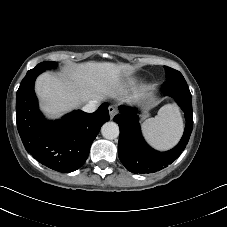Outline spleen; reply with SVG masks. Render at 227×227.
<instances>
[{
    "mask_svg": "<svg viewBox=\"0 0 227 227\" xmlns=\"http://www.w3.org/2000/svg\"><path fill=\"white\" fill-rule=\"evenodd\" d=\"M143 134L150 145L158 150L174 147L183 133V120L179 108L174 104L164 105L155 118L142 124Z\"/></svg>",
    "mask_w": 227,
    "mask_h": 227,
    "instance_id": "3e777b00",
    "label": "spleen"
}]
</instances>
